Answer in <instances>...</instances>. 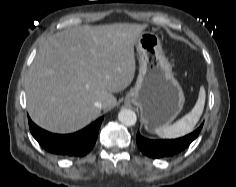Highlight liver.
Returning a JSON list of instances; mask_svg holds the SVG:
<instances>
[{
	"instance_id": "1",
	"label": "liver",
	"mask_w": 236,
	"mask_h": 187,
	"mask_svg": "<svg viewBox=\"0 0 236 187\" xmlns=\"http://www.w3.org/2000/svg\"><path fill=\"white\" fill-rule=\"evenodd\" d=\"M147 25L79 26L49 37L31 64L25 90L30 117L43 129L72 133L97 118L135 73L134 45Z\"/></svg>"
}]
</instances>
